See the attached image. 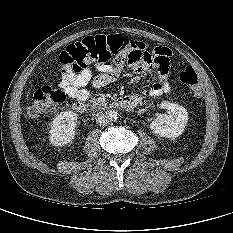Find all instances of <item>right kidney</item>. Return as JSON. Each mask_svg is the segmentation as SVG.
I'll return each instance as SVG.
<instances>
[{"label": "right kidney", "instance_id": "1", "mask_svg": "<svg viewBox=\"0 0 233 233\" xmlns=\"http://www.w3.org/2000/svg\"><path fill=\"white\" fill-rule=\"evenodd\" d=\"M78 116L73 111L58 114L51 124L49 140L53 146H63L75 137Z\"/></svg>", "mask_w": 233, "mask_h": 233}]
</instances>
